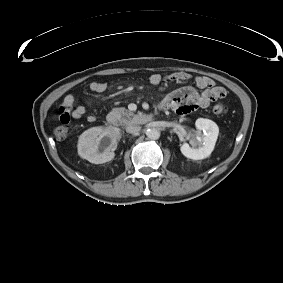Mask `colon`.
<instances>
[{
    "label": "colon",
    "mask_w": 283,
    "mask_h": 283,
    "mask_svg": "<svg viewBox=\"0 0 283 283\" xmlns=\"http://www.w3.org/2000/svg\"><path fill=\"white\" fill-rule=\"evenodd\" d=\"M212 112L216 116H222L228 112V107L223 103L215 104L212 108ZM61 120V125L57 126L54 130V135L57 139H64L69 131L68 118L64 116Z\"/></svg>",
    "instance_id": "colon-1"
}]
</instances>
